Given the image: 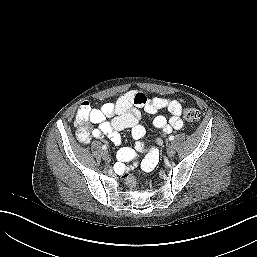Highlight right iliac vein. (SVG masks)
<instances>
[{"mask_svg": "<svg viewBox=\"0 0 257 257\" xmlns=\"http://www.w3.org/2000/svg\"><path fill=\"white\" fill-rule=\"evenodd\" d=\"M102 157H103L104 160H108V159H109L108 152H107V151H104V152L102 153Z\"/></svg>", "mask_w": 257, "mask_h": 257, "instance_id": "63e3f726", "label": "right iliac vein"}]
</instances>
